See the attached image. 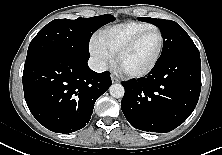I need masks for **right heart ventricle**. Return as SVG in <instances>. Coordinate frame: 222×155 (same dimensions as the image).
<instances>
[{"label":"right heart ventricle","instance_id":"e07e8e85","mask_svg":"<svg viewBox=\"0 0 222 155\" xmlns=\"http://www.w3.org/2000/svg\"><path fill=\"white\" fill-rule=\"evenodd\" d=\"M151 26L154 25L148 22L126 21L106 27L98 33L97 38L111 54H115L129 39Z\"/></svg>","mask_w":222,"mask_h":155}]
</instances>
